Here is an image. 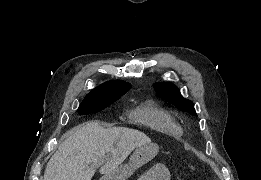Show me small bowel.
Masks as SVG:
<instances>
[{"label":"small bowel","instance_id":"obj_1","mask_svg":"<svg viewBox=\"0 0 261 180\" xmlns=\"http://www.w3.org/2000/svg\"><path fill=\"white\" fill-rule=\"evenodd\" d=\"M170 172L163 164H155L140 176V180H169Z\"/></svg>","mask_w":261,"mask_h":180}]
</instances>
